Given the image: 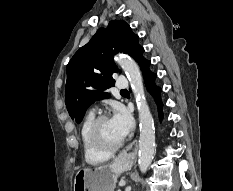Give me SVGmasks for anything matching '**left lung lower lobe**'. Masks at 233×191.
Segmentation results:
<instances>
[{"instance_id":"0a47b994","label":"left lung lower lobe","mask_w":233,"mask_h":191,"mask_svg":"<svg viewBox=\"0 0 233 191\" xmlns=\"http://www.w3.org/2000/svg\"><path fill=\"white\" fill-rule=\"evenodd\" d=\"M150 64H151V61H149L147 59H143L139 63V66H140L141 71L143 73L145 83L147 85V89L153 95L154 101L157 104L159 118L161 121L163 118V112H162L163 103H162V100L160 98V93H161L162 89L155 84V79H156L157 75L149 70Z\"/></svg>"}]
</instances>
